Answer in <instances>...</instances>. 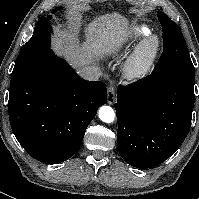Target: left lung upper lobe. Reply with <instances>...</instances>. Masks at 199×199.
<instances>
[{"label": "left lung upper lobe", "mask_w": 199, "mask_h": 199, "mask_svg": "<svg viewBox=\"0 0 199 199\" xmlns=\"http://www.w3.org/2000/svg\"><path fill=\"white\" fill-rule=\"evenodd\" d=\"M157 16L163 30V53L153 73L181 71L195 74L194 66L180 27L161 12H158Z\"/></svg>", "instance_id": "1"}]
</instances>
